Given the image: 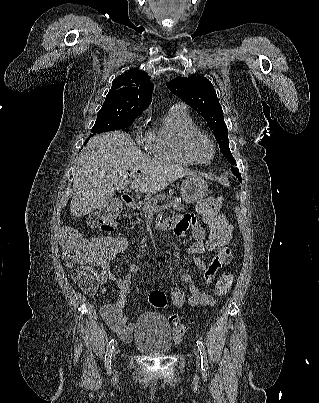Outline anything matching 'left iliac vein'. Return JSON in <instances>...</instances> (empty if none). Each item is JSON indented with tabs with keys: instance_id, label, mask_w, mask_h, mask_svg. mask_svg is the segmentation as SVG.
Returning <instances> with one entry per match:
<instances>
[{
	"instance_id": "obj_1",
	"label": "left iliac vein",
	"mask_w": 319,
	"mask_h": 403,
	"mask_svg": "<svg viewBox=\"0 0 319 403\" xmlns=\"http://www.w3.org/2000/svg\"><path fill=\"white\" fill-rule=\"evenodd\" d=\"M196 362H197V364L200 363V356H199V354L197 352H196Z\"/></svg>"
}]
</instances>
